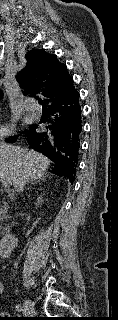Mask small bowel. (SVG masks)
Returning a JSON list of instances; mask_svg holds the SVG:
<instances>
[{
  "mask_svg": "<svg viewBox=\"0 0 118 320\" xmlns=\"http://www.w3.org/2000/svg\"><path fill=\"white\" fill-rule=\"evenodd\" d=\"M4 290V285L3 282L0 280V294L3 292Z\"/></svg>",
  "mask_w": 118,
  "mask_h": 320,
  "instance_id": "1",
  "label": "small bowel"
}]
</instances>
